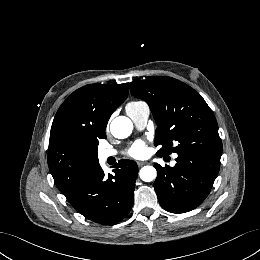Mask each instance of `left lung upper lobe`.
<instances>
[{
  "mask_svg": "<svg viewBox=\"0 0 260 260\" xmlns=\"http://www.w3.org/2000/svg\"><path fill=\"white\" fill-rule=\"evenodd\" d=\"M130 88L135 97L148 103L153 113L157 124L154 144L161 146L158 156L186 151L222 153L215 116L193 88L165 76L133 81Z\"/></svg>",
  "mask_w": 260,
  "mask_h": 260,
  "instance_id": "left-lung-upper-lobe-1",
  "label": "left lung upper lobe"
}]
</instances>
